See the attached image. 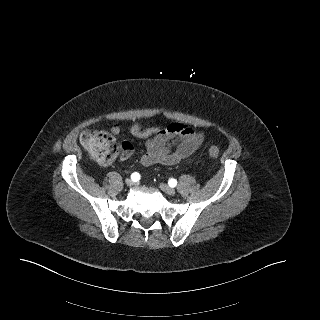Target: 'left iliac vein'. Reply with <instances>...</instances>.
<instances>
[{
  "instance_id": "1",
  "label": "left iliac vein",
  "mask_w": 320,
  "mask_h": 320,
  "mask_svg": "<svg viewBox=\"0 0 320 320\" xmlns=\"http://www.w3.org/2000/svg\"><path fill=\"white\" fill-rule=\"evenodd\" d=\"M160 189L162 191H164L165 193L169 194V195H174L176 193V190L170 186H168L167 184L161 183L159 185Z\"/></svg>"
}]
</instances>
